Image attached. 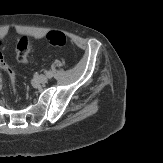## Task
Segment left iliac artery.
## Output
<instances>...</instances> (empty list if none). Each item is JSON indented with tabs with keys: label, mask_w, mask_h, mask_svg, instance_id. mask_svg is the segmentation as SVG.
Segmentation results:
<instances>
[{
	"label": "left iliac artery",
	"mask_w": 163,
	"mask_h": 163,
	"mask_svg": "<svg viewBox=\"0 0 163 163\" xmlns=\"http://www.w3.org/2000/svg\"><path fill=\"white\" fill-rule=\"evenodd\" d=\"M45 74L47 75L48 78H52L53 74L50 71H46Z\"/></svg>",
	"instance_id": "left-iliac-artery-1"
}]
</instances>
